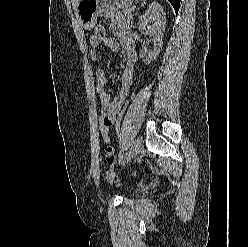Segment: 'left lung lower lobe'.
Returning a JSON list of instances; mask_svg holds the SVG:
<instances>
[{"label": "left lung lower lobe", "instance_id": "obj_1", "mask_svg": "<svg viewBox=\"0 0 248 247\" xmlns=\"http://www.w3.org/2000/svg\"><path fill=\"white\" fill-rule=\"evenodd\" d=\"M169 1L173 5L175 12L177 14L180 6V0H169Z\"/></svg>", "mask_w": 248, "mask_h": 247}]
</instances>
